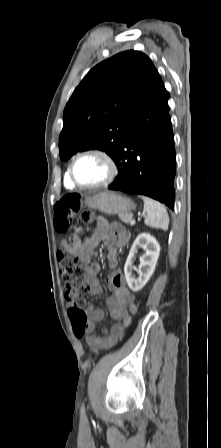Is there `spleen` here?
I'll list each match as a JSON object with an SVG mask.
<instances>
[{
	"instance_id": "3e777b00",
	"label": "spleen",
	"mask_w": 221,
	"mask_h": 448,
	"mask_svg": "<svg viewBox=\"0 0 221 448\" xmlns=\"http://www.w3.org/2000/svg\"><path fill=\"white\" fill-rule=\"evenodd\" d=\"M144 211L146 212L145 224L149 227L166 231L169 225V217L164 205L149 197L142 196Z\"/></svg>"
}]
</instances>
